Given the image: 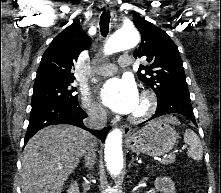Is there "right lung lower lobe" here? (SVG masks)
<instances>
[{
  "label": "right lung lower lobe",
  "instance_id": "98d812e1",
  "mask_svg": "<svg viewBox=\"0 0 221 193\" xmlns=\"http://www.w3.org/2000/svg\"><path fill=\"white\" fill-rule=\"evenodd\" d=\"M87 114L78 103L52 102L33 106L30 113L29 125L25 135V143L40 129L53 124H71L88 130L102 142L111 127L101 130H91L84 126L83 119Z\"/></svg>",
  "mask_w": 221,
  "mask_h": 193
}]
</instances>
